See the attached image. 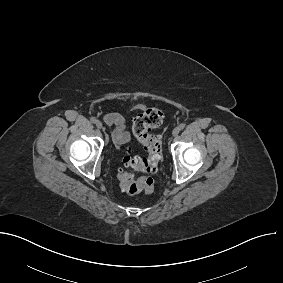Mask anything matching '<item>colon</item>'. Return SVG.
<instances>
[{
  "label": "colon",
  "mask_w": 283,
  "mask_h": 283,
  "mask_svg": "<svg viewBox=\"0 0 283 283\" xmlns=\"http://www.w3.org/2000/svg\"><path fill=\"white\" fill-rule=\"evenodd\" d=\"M164 121V113L158 108H149L139 114L133 122V133L147 153L145 158L132 156L124 158L125 166L146 175L157 171L162 158L161 140L152 130L160 127ZM120 186L129 195L141 192L150 193L154 188L153 179L149 176L135 178L131 173L121 172L118 175Z\"/></svg>",
  "instance_id": "1"
}]
</instances>
